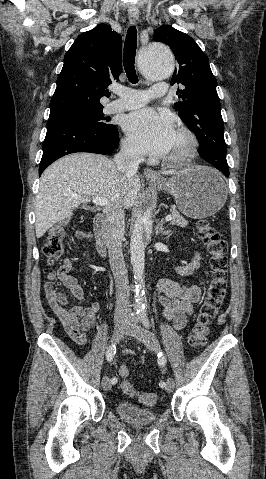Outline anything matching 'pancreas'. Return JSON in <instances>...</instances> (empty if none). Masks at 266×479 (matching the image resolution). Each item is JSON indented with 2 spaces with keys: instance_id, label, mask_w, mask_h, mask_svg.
<instances>
[{
  "instance_id": "pancreas-1",
  "label": "pancreas",
  "mask_w": 266,
  "mask_h": 479,
  "mask_svg": "<svg viewBox=\"0 0 266 479\" xmlns=\"http://www.w3.org/2000/svg\"><path fill=\"white\" fill-rule=\"evenodd\" d=\"M171 224L172 225H177L180 227H185L188 225V221L184 219V217L175 209L171 211Z\"/></svg>"
}]
</instances>
